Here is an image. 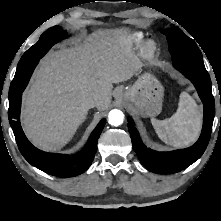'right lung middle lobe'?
Returning <instances> with one entry per match:
<instances>
[{"label": "right lung middle lobe", "instance_id": "right-lung-middle-lobe-1", "mask_svg": "<svg viewBox=\"0 0 221 221\" xmlns=\"http://www.w3.org/2000/svg\"><path fill=\"white\" fill-rule=\"evenodd\" d=\"M67 37L66 31H64L60 26H54L45 31L41 36L39 41L29 48L25 53L24 57H28L30 63L26 64L24 62H19L16 70L14 79L11 82L9 90V98H12L18 94L20 87L27 80L29 70L32 66L33 59L30 57H38L40 55H45L46 52L57 42Z\"/></svg>", "mask_w": 221, "mask_h": 221}]
</instances>
